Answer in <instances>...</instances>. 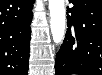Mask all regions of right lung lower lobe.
I'll return each mask as SVG.
<instances>
[{"label":"right lung lower lobe","mask_w":102,"mask_h":75,"mask_svg":"<svg viewBox=\"0 0 102 75\" xmlns=\"http://www.w3.org/2000/svg\"><path fill=\"white\" fill-rule=\"evenodd\" d=\"M33 3L0 1V75H28Z\"/></svg>","instance_id":"right-lung-lower-lobe-1"}]
</instances>
